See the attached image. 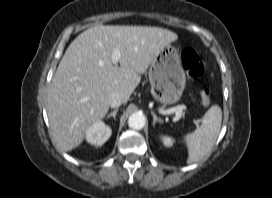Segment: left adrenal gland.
Returning <instances> with one entry per match:
<instances>
[{"label":"left adrenal gland","instance_id":"1","mask_svg":"<svg viewBox=\"0 0 272 198\" xmlns=\"http://www.w3.org/2000/svg\"><path fill=\"white\" fill-rule=\"evenodd\" d=\"M151 114H152V116H153V126H155V124L157 123V122H159V123H162V119H160V118H158L157 116H156V114L154 113V111H151Z\"/></svg>","mask_w":272,"mask_h":198}]
</instances>
